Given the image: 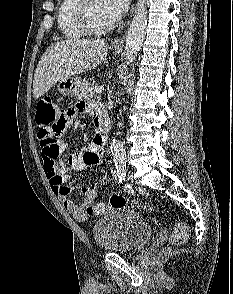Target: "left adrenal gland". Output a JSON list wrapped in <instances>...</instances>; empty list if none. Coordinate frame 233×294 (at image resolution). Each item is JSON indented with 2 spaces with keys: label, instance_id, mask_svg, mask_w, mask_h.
<instances>
[{
  "label": "left adrenal gland",
  "instance_id": "obj_1",
  "mask_svg": "<svg viewBox=\"0 0 233 294\" xmlns=\"http://www.w3.org/2000/svg\"><path fill=\"white\" fill-rule=\"evenodd\" d=\"M107 89H108V96H109V97L112 96V92H111V90L109 89V86L107 87Z\"/></svg>",
  "mask_w": 233,
  "mask_h": 294
}]
</instances>
